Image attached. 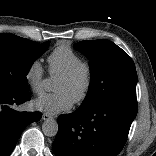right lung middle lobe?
<instances>
[{"label":"right lung middle lobe","instance_id":"obj_1","mask_svg":"<svg viewBox=\"0 0 156 156\" xmlns=\"http://www.w3.org/2000/svg\"><path fill=\"white\" fill-rule=\"evenodd\" d=\"M49 44L50 41L38 44L13 34H0V88L27 91L26 75Z\"/></svg>","mask_w":156,"mask_h":156}]
</instances>
